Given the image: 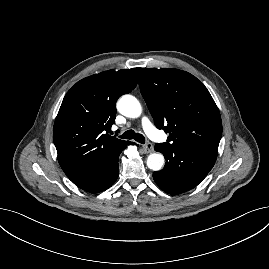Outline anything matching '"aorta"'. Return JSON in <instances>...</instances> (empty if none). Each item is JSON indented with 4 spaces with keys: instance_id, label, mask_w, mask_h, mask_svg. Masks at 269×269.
Wrapping results in <instances>:
<instances>
[{
    "instance_id": "762f6f07",
    "label": "aorta",
    "mask_w": 269,
    "mask_h": 269,
    "mask_svg": "<svg viewBox=\"0 0 269 269\" xmlns=\"http://www.w3.org/2000/svg\"><path fill=\"white\" fill-rule=\"evenodd\" d=\"M118 111L129 118H137L142 113L139 101L132 95H124L117 102ZM165 159L161 153H152L147 158V166L153 171H159L164 165Z\"/></svg>"
}]
</instances>
